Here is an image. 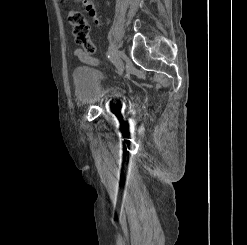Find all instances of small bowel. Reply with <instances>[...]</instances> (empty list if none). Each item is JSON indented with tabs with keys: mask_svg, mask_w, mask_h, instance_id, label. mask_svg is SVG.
Segmentation results:
<instances>
[{
	"mask_svg": "<svg viewBox=\"0 0 247 245\" xmlns=\"http://www.w3.org/2000/svg\"><path fill=\"white\" fill-rule=\"evenodd\" d=\"M66 1L67 0H59V2L61 3H65ZM74 1L81 2L84 5L87 14L93 19L96 26L100 25L99 19L97 17L96 9L94 5L92 4L91 0H74ZM73 56L79 59L80 61L90 64V65L98 64V60L92 54H89L86 51L79 49V48L73 51Z\"/></svg>",
	"mask_w": 247,
	"mask_h": 245,
	"instance_id": "small-bowel-1",
	"label": "small bowel"
}]
</instances>
